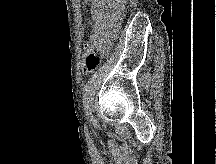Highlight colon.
I'll return each instance as SVG.
<instances>
[{"label": "colon", "mask_w": 216, "mask_h": 164, "mask_svg": "<svg viewBox=\"0 0 216 164\" xmlns=\"http://www.w3.org/2000/svg\"><path fill=\"white\" fill-rule=\"evenodd\" d=\"M101 62V55L97 52L90 51L84 61H83V70L85 73H93Z\"/></svg>", "instance_id": "colon-1"}]
</instances>
